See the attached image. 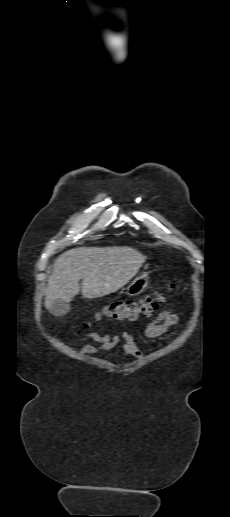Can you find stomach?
Instances as JSON below:
<instances>
[{
    "label": "stomach",
    "instance_id": "1",
    "mask_svg": "<svg viewBox=\"0 0 230 517\" xmlns=\"http://www.w3.org/2000/svg\"><path fill=\"white\" fill-rule=\"evenodd\" d=\"M149 282V272L144 271L140 275L136 276L124 289L125 294L128 296H136L142 293L147 287Z\"/></svg>",
    "mask_w": 230,
    "mask_h": 517
}]
</instances>
